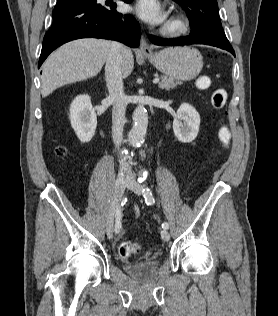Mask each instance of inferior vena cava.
<instances>
[{
  "label": "inferior vena cava",
  "mask_w": 278,
  "mask_h": 316,
  "mask_svg": "<svg viewBox=\"0 0 278 316\" xmlns=\"http://www.w3.org/2000/svg\"><path fill=\"white\" fill-rule=\"evenodd\" d=\"M126 47L121 43L112 42L105 66V80L109 91V100L114 104L112 111V138L116 147L119 148L123 141V126L125 124L126 96L123 89L122 62ZM120 171L129 169L125 159L120 161Z\"/></svg>",
  "instance_id": "1"
}]
</instances>
